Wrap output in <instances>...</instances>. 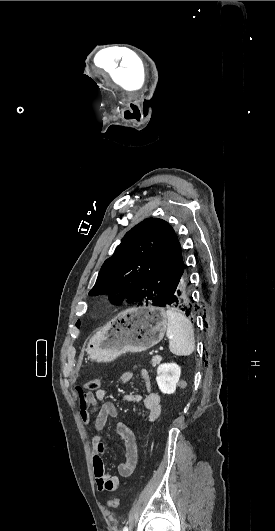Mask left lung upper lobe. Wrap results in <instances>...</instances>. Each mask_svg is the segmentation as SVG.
Returning <instances> with one entry per match:
<instances>
[{"label":"left lung upper lobe","instance_id":"5c2ea615","mask_svg":"<svg viewBox=\"0 0 275 531\" xmlns=\"http://www.w3.org/2000/svg\"><path fill=\"white\" fill-rule=\"evenodd\" d=\"M184 270L174 229L162 219L147 218L126 233L104 262L89 295L107 294L117 305L164 306Z\"/></svg>","mask_w":275,"mask_h":531}]
</instances>
